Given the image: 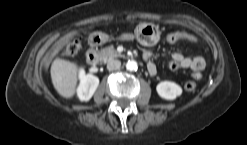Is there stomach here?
Masks as SVG:
<instances>
[{
	"label": "stomach",
	"mask_w": 247,
	"mask_h": 145,
	"mask_svg": "<svg viewBox=\"0 0 247 145\" xmlns=\"http://www.w3.org/2000/svg\"><path fill=\"white\" fill-rule=\"evenodd\" d=\"M134 36L142 45L154 46L160 39L159 27L152 23H141L136 27Z\"/></svg>",
	"instance_id": "obj_1"
}]
</instances>
